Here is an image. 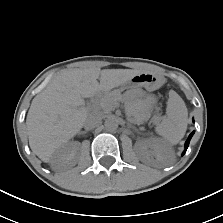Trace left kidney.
I'll return each instance as SVG.
<instances>
[{"mask_svg":"<svg viewBox=\"0 0 223 223\" xmlns=\"http://www.w3.org/2000/svg\"><path fill=\"white\" fill-rule=\"evenodd\" d=\"M136 150L143 163L156 167L171 165L175 157L171 146L156 138L138 141Z\"/></svg>","mask_w":223,"mask_h":223,"instance_id":"obj_1","label":"left kidney"}]
</instances>
